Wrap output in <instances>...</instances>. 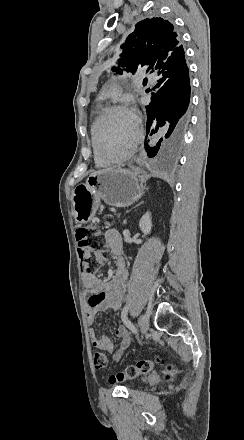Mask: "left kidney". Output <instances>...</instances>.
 Wrapping results in <instances>:
<instances>
[{"instance_id":"5707ae66","label":"left kidney","mask_w":244,"mask_h":440,"mask_svg":"<svg viewBox=\"0 0 244 440\" xmlns=\"http://www.w3.org/2000/svg\"><path fill=\"white\" fill-rule=\"evenodd\" d=\"M139 228H140L141 232H143V234H145V236H147V234H150L151 228H152L150 212H146V214H144V216H142V218L139 222Z\"/></svg>"}]
</instances>
